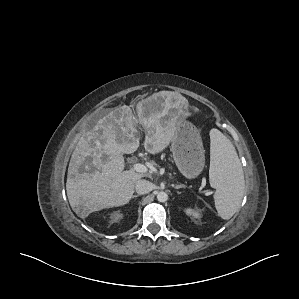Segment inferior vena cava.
<instances>
[{
  "instance_id": "obj_1",
  "label": "inferior vena cava",
  "mask_w": 299,
  "mask_h": 299,
  "mask_svg": "<svg viewBox=\"0 0 299 299\" xmlns=\"http://www.w3.org/2000/svg\"><path fill=\"white\" fill-rule=\"evenodd\" d=\"M135 190L138 194H146L153 190V184L145 179H139L135 184Z\"/></svg>"
}]
</instances>
